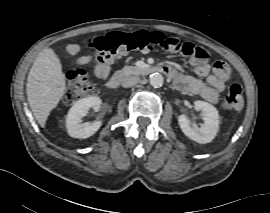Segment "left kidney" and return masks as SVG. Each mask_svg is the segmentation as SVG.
I'll return each instance as SVG.
<instances>
[{"label":"left kidney","instance_id":"1","mask_svg":"<svg viewBox=\"0 0 270 213\" xmlns=\"http://www.w3.org/2000/svg\"><path fill=\"white\" fill-rule=\"evenodd\" d=\"M195 107L202 112L204 123L198 127L191 123L186 115L178 117V123L182 132L191 140L205 144L211 142L219 129V115L217 109L205 101L197 100Z\"/></svg>","mask_w":270,"mask_h":213}]
</instances>
